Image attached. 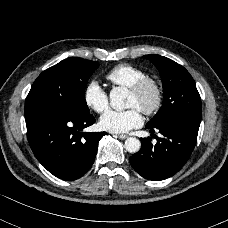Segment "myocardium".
Returning a JSON list of instances; mask_svg holds the SVG:
<instances>
[{
    "label": "myocardium",
    "instance_id": "myocardium-1",
    "mask_svg": "<svg viewBox=\"0 0 228 228\" xmlns=\"http://www.w3.org/2000/svg\"><path fill=\"white\" fill-rule=\"evenodd\" d=\"M149 88H152L154 92L153 101L140 105L138 109L146 115H153L160 110L164 98L163 87L157 79L146 76L130 87L129 92L137 97H142Z\"/></svg>",
    "mask_w": 228,
    "mask_h": 228
}]
</instances>
